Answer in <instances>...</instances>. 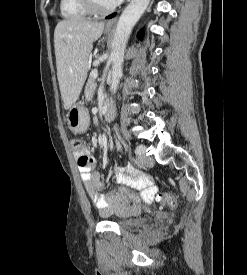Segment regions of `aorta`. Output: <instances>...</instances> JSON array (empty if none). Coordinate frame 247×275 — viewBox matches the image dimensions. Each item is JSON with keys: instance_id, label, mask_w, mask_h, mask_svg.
<instances>
[{"instance_id": "aorta-1", "label": "aorta", "mask_w": 247, "mask_h": 275, "mask_svg": "<svg viewBox=\"0 0 247 275\" xmlns=\"http://www.w3.org/2000/svg\"><path fill=\"white\" fill-rule=\"evenodd\" d=\"M149 3L150 0H131L118 20L110 55L112 60L110 91L113 94L116 93L118 89L120 78L123 73L122 65L129 36Z\"/></svg>"}]
</instances>
